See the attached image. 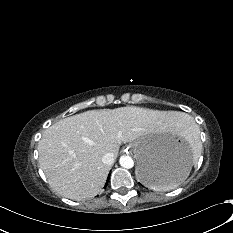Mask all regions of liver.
Instances as JSON below:
<instances>
[{"mask_svg": "<svg viewBox=\"0 0 233 233\" xmlns=\"http://www.w3.org/2000/svg\"><path fill=\"white\" fill-rule=\"evenodd\" d=\"M185 114L135 106L90 110L59 120L42 135L39 164L59 195L81 201L98 194L110 166L106 153L118 154L121 143L150 133H165Z\"/></svg>", "mask_w": 233, "mask_h": 233, "instance_id": "6515ba94", "label": "liver"}]
</instances>
